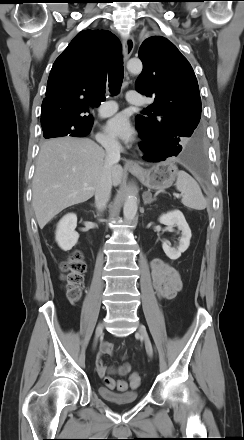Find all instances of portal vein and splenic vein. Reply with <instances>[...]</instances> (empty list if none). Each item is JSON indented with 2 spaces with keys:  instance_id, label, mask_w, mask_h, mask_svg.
Wrapping results in <instances>:
<instances>
[{
  "instance_id": "18ae733b",
  "label": "portal vein and splenic vein",
  "mask_w": 244,
  "mask_h": 440,
  "mask_svg": "<svg viewBox=\"0 0 244 440\" xmlns=\"http://www.w3.org/2000/svg\"><path fill=\"white\" fill-rule=\"evenodd\" d=\"M179 196H180L179 194L176 195V197H179Z\"/></svg>"
}]
</instances>
